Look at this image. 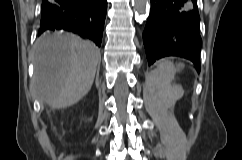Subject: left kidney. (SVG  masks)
Segmentation results:
<instances>
[{
	"instance_id": "left-kidney-1",
	"label": "left kidney",
	"mask_w": 242,
	"mask_h": 160,
	"mask_svg": "<svg viewBox=\"0 0 242 160\" xmlns=\"http://www.w3.org/2000/svg\"><path fill=\"white\" fill-rule=\"evenodd\" d=\"M179 97H180V96H179ZM179 97H178V98H179ZM174 102H175V101H173L171 104H174ZM164 109H165V108H164Z\"/></svg>"
}]
</instances>
